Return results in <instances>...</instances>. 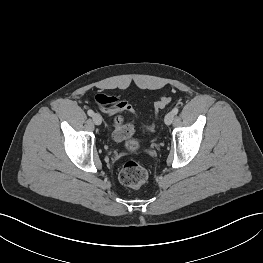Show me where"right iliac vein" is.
I'll list each match as a JSON object with an SVG mask.
<instances>
[{
  "label": "right iliac vein",
  "instance_id": "right-iliac-vein-1",
  "mask_svg": "<svg viewBox=\"0 0 263 263\" xmlns=\"http://www.w3.org/2000/svg\"><path fill=\"white\" fill-rule=\"evenodd\" d=\"M92 120L96 125H100L102 123V117L98 113L92 115Z\"/></svg>",
  "mask_w": 263,
  "mask_h": 263
}]
</instances>
